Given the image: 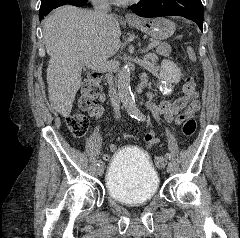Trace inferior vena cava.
Returning a JSON list of instances; mask_svg holds the SVG:
<instances>
[{
    "mask_svg": "<svg viewBox=\"0 0 240 238\" xmlns=\"http://www.w3.org/2000/svg\"><path fill=\"white\" fill-rule=\"evenodd\" d=\"M94 10L91 12L92 16L101 21L105 22L112 18V15H109L110 4L108 0H91ZM109 97L111 104L114 108L116 116H120V97L119 93L114 87H110L109 89Z\"/></svg>",
    "mask_w": 240,
    "mask_h": 238,
    "instance_id": "1",
    "label": "inferior vena cava"
}]
</instances>
